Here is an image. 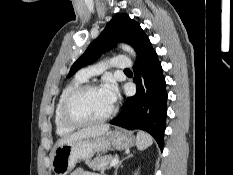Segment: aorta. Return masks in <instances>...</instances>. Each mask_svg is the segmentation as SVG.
<instances>
[{
    "instance_id": "1",
    "label": "aorta",
    "mask_w": 233,
    "mask_h": 175,
    "mask_svg": "<svg viewBox=\"0 0 233 175\" xmlns=\"http://www.w3.org/2000/svg\"><path fill=\"white\" fill-rule=\"evenodd\" d=\"M120 48H121L123 51L129 53L130 55H132V56H134V57L136 56V53H135L134 49L131 48L130 46H128V45H126V44H121V45H120Z\"/></svg>"
}]
</instances>
